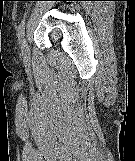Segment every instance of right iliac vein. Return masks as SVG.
<instances>
[{"mask_svg":"<svg viewBox=\"0 0 135 161\" xmlns=\"http://www.w3.org/2000/svg\"><path fill=\"white\" fill-rule=\"evenodd\" d=\"M21 56L22 58L25 60V61H28L29 60V52H28V44H27V40L24 39L22 42H21Z\"/></svg>","mask_w":135,"mask_h":161,"instance_id":"1","label":"right iliac vein"}]
</instances>
